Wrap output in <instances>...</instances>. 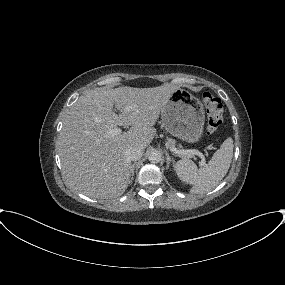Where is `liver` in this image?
<instances>
[{"mask_svg": "<svg viewBox=\"0 0 285 285\" xmlns=\"http://www.w3.org/2000/svg\"><path fill=\"white\" fill-rule=\"evenodd\" d=\"M178 88L168 83L153 88L123 86L96 88L81 95L64 118L58 142L69 184L91 198L121 196L130 183L132 167L126 151L148 147L156 134L153 126ZM117 126L131 127L111 136L109 131Z\"/></svg>", "mask_w": 285, "mask_h": 285, "instance_id": "obj_1", "label": "liver"}]
</instances>
